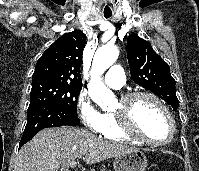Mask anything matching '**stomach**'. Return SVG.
Returning <instances> with one entry per match:
<instances>
[{
    "instance_id": "1",
    "label": "stomach",
    "mask_w": 199,
    "mask_h": 171,
    "mask_svg": "<svg viewBox=\"0 0 199 171\" xmlns=\"http://www.w3.org/2000/svg\"><path fill=\"white\" fill-rule=\"evenodd\" d=\"M115 171H145L147 159L142 151H134L118 155L114 159Z\"/></svg>"
}]
</instances>
